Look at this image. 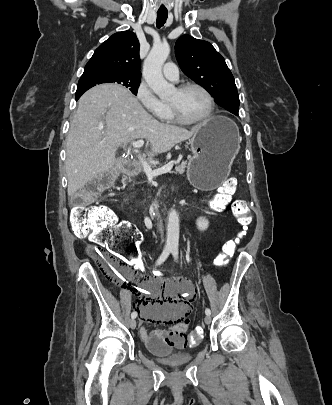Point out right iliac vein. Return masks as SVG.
<instances>
[{
    "instance_id": "1",
    "label": "right iliac vein",
    "mask_w": 332,
    "mask_h": 405,
    "mask_svg": "<svg viewBox=\"0 0 332 405\" xmlns=\"http://www.w3.org/2000/svg\"><path fill=\"white\" fill-rule=\"evenodd\" d=\"M136 320L135 319H132L130 322H129V326H130V328L131 329H135L136 328Z\"/></svg>"
}]
</instances>
